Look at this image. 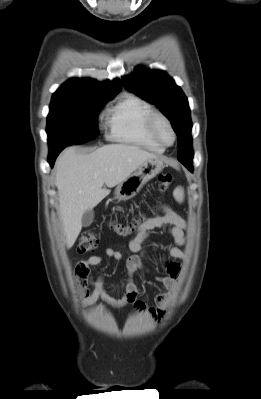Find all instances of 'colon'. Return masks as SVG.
Returning <instances> with one entry per match:
<instances>
[{
  "instance_id": "colon-1",
  "label": "colon",
  "mask_w": 261,
  "mask_h": 399,
  "mask_svg": "<svg viewBox=\"0 0 261 399\" xmlns=\"http://www.w3.org/2000/svg\"><path fill=\"white\" fill-rule=\"evenodd\" d=\"M157 183H158V190L161 193H166L170 189L173 183V176L170 173H161L157 178ZM153 212H154L153 210L150 211L151 214H153ZM145 218H146L145 214H138L135 215L128 223L116 224L113 227L119 235L128 236L142 225ZM97 244H98L97 235L91 230L84 231L79 236L77 244V252L79 254L88 253L94 250Z\"/></svg>"
}]
</instances>
